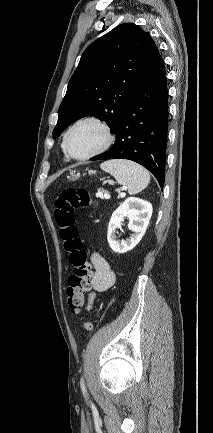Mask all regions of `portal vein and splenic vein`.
<instances>
[{
  "label": "portal vein and splenic vein",
  "mask_w": 213,
  "mask_h": 433,
  "mask_svg": "<svg viewBox=\"0 0 213 433\" xmlns=\"http://www.w3.org/2000/svg\"><path fill=\"white\" fill-rule=\"evenodd\" d=\"M104 198H105V199H109V198H110V195L106 193V194H104Z\"/></svg>",
  "instance_id": "obj_1"
}]
</instances>
